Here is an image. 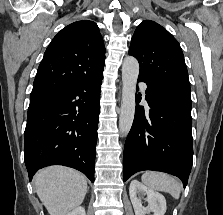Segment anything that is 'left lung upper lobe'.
<instances>
[{"mask_svg": "<svg viewBox=\"0 0 223 215\" xmlns=\"http://www.w3.org/2000/svg\"><path fill=\"white\" fill-rule=\"evenodd\" d=\"M129 54L140 64V78L191 99L182 49L161 25L149 20L140 23L132 37Z\"/></svg>", "mask_w": 223, "mask_h": 215, "instance_id": "5c2ea615", "label": "left lung upper lobe"}]
</instances>
